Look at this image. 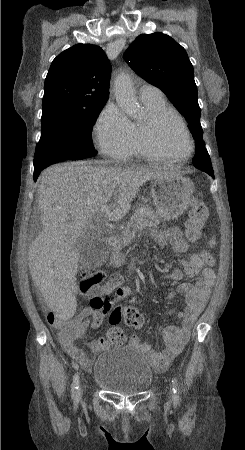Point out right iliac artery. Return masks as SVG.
I'll list each match as a JSON object with an SVG mask.
<instances>
[{
	"label": "right iliac artery",
	"instance_id": "82829eb1",
	"mask_svg": "<svg viewBox=\"0 0 245 450\" xmlns=\"http://www.w3.org/2000/svg\"><path fill=\"white\" fill-rule=\"evenodd\" d=\"M71 392H72V398L74 399V403L76 404L78 401V394H79V375H78V373H76L73 377Z\"/></svg>",
	"mask_w": 245,
	"mask_h": 450
}]
</instances>
